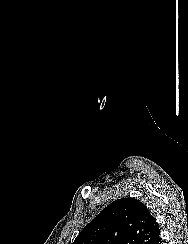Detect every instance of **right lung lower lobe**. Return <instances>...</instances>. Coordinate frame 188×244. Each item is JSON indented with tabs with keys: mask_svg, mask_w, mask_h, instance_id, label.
I'll use <instances>...</instances> for the list:
<instances>
[{
	"mask_svg": "<svg viewBox=\"0 0 188 244\" xmlns=\"http://www.w3.org/2000/svg\"><path fill=\"white\" fill-rule=\"evenodd\" d=\"M159 234H160V231H159L158 233H156V234L152 237V239L149 241L148 244H160L161 239H160Z\"/></svg>",
	"mask_w": 188,
	"mask_h": 244,
	"instance_id": "right-lung-lower-lobe-1",
	"label": "right lung lower lobe"
}]
</instances>
